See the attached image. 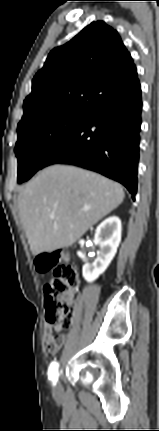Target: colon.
<instances>
[{"instance_id": "colon-1", "label": "colon", "mask_w": 159, "mask_h": 431, "mask_svg": "<svg viewBox=\"0 0 159 431\" xmlns=\"http://www.w3.org/2000/svg\"><path fill=\"white\" fill-rule=\"evenodd\" d=\"M35 266L40 274L52 272L44 286L48 321H59L63 327H69L74 311L70 292L79 282L75 267L69 263L68 255L61 251L38 255Z\"/></svg>"}]
</instances>
